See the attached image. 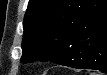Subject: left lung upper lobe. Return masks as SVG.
Wrapping results in <instances>:
<instances>
[{"mask_svg": "<svg viewBox=\"0 0 107 75\" xmlns=\"http://www.w3.org/2000/svg\"><path fill=\"white\" fill-rule=\"evenodd\" d=\"M96 4L94 0H30L23 21L21 62L52 61L50 51L69 47L79 20Z\"/></svg>", "mask_w": 107, "mask_h": 75, "instance_id": "5c2ea615", "label": "left lung upper lobe"}]
</instances>
